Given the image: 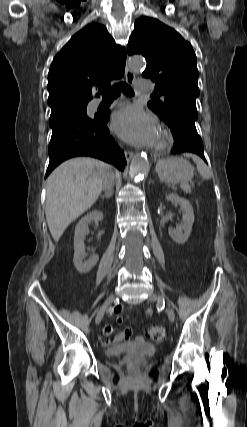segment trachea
<instances>
[{"label": "trachea", "instance_id": "1", "mask_svg": "<svg viewBox=\"0 0 247 427\" xmlns=\"http://www.w3.org/2000/svg\"><path fill=\"white\" fill-rule=\"evenodd\" d=\"M99 92L105 98H116L121 94V92H123L127 96H133L134 95L133 89L128 84H126L124 82L117 83L113 87H110L108 89L99 88Z\"/></svg>", "mask_w": 247, "mask_h": 427}]
</instances>
